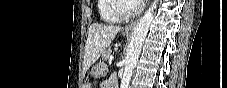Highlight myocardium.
<instances>
[{"label": "myocardium", "instance_id": "obj_1", "mask_svg": "<svg viewBox=\"0 0 227 88\" xmlns=\"http://www.w3.org/2000/svg\"><path fill=\"white\" fill-rule=\"evenodd\" d=\"M131 0H113L110 5L112 13L120 20H127L137 16L141 12V7L135 6V9L130 13H125L122 10V3Z\"/></svg>", "mask_w": 227, "mask_h": 88}]
</instances>
